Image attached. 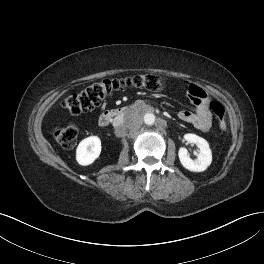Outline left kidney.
Masks as SVG:
<instances>
[{
  "label": "left kidney",
  "mask_w": 264,
  "mask_h": 264,
  "mask_svg": "<svg viewBox=\"0 0 264 264\" xmlns=\"http://www.w3.org/2000/svg\"><path fill=\"white\" fill-rule=\"evenodd\" d=\"M184 139L191 144L197 145L199 153L197 159L192 160L186 148H180L178 157L184 168L193 172H202L210 166L212 162V152L208 142L195 134H185Z\"/></svg>",
  "instance_id": "5707ae66"
}]
</instances>
